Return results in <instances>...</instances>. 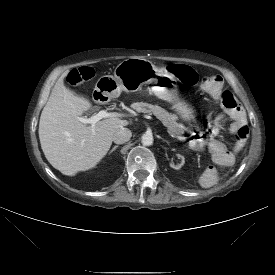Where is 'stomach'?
<instances>
[{"label":"stomach","mask_w":275,"mask_h":275,"mask_svg":"<svg viewBox=\"0 0 275 275\" xmlns=\"http://www.w3.org/2000/svg\"><path fill=\"white\" fill-rule=\"evenodd\" d=\"M156 83L151 93L171 105V108L183 120L193 119V108L178 94L176 77L163 71L152 62L141 58H129L122 61L114 70V75L102 76L96 83L99 89L108 97H117L122 91L134 92L144 84Z\"/></svg>","instance_id":"obj_1"}]
</instances>
